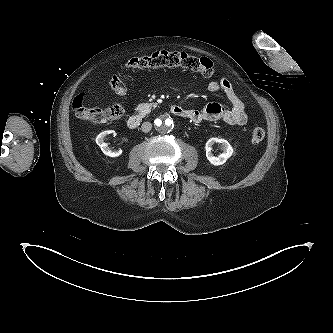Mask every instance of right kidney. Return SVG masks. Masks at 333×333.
Segmentation results:
<instances>
[{
  "label": "right kidney",
  "instance_id": "right-kidney-1",
  "mask_svg": "<svg viewBox=\"0 0 333 333\" xmlns=\"http://www.w3.org/2000/svg\"><path fill=\"white\" fill-rule=\"evenodd\" d=\"M115 134V131L113 130H108V131H104L102 133H100L97 137H96V143L97 145L100 146L102 152L110 157H118L119 155L122 154V150H110L108 147V144L104 142V138L107 134Z\"/></svg>",
  "mask_w": 333,
  "mask_h": 333
}]
</instances>
